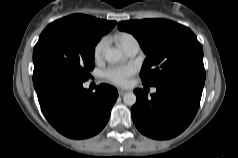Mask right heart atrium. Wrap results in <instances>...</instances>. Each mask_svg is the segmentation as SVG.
<instances>
[{"mask_svg": "<svg viewBox=\"0 0 238 158\" xmlns=\"http://www.w3.org/2000/svg\"><path fill=\"white\" fill-rule=\"evenodd\" d=\"M106 44H107L106 38H102L96 43L93 49V56L96 60H99L103 56Z\"/></svg>", "mask_w": 238, "mask_h": 158, "instance_id": "obj_1", "label": "right heart atrium"}]
</instances>
